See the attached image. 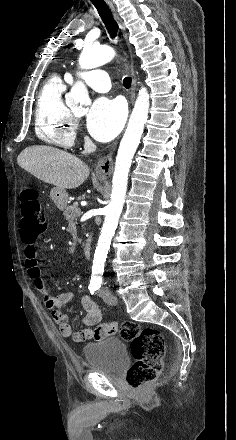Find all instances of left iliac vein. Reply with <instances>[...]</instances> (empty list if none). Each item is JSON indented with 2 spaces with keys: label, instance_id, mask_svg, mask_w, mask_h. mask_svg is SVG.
Wrapping results in <instances>:
<instances>
[{
  "label": "left iliac vein",
  "instance_id": "obj_1",
  "mask_svg": "<svg viewBox=\"0 0 236 440\" xmlns=\"http://www.w3.org/2000/svg\"><path fill=\"white\" fill-rule=\"evenodd\" d=\"M102 297L104 302L108 305H116L118 302L117 297L110 292L103 294Z\"/></svg>",
  "mask_w": 236,
  "mask_h": 440
}]
</instances>
